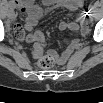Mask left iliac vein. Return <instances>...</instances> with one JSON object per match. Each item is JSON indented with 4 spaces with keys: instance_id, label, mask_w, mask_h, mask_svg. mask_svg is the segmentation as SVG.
<instances>
[{
    "instance_id": "left-iliac-vein-1",
    "label": "left iliac vein",
    "mask_w": 103,
    "mask_h": 103,
    "mask_svg": "<svg viewBox=\"0 0 103 103\" xmlns=\"http://www.w3.org/2000/svg\"><path fill=\"white\" fill-rule=\"evenodd\" d=\"M92 20H93V19L90 17V18H89V21L92 22Z\"/></svg>"
}]
</instances>
